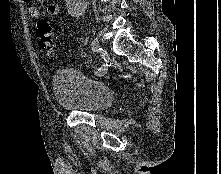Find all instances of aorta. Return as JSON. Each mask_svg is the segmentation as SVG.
I'll list each match as a JSON object with an SVG mask.
<instances>
[{
    "mask_svg": "<svg viewBox=\"0 0 221 174\" xmlns=\"http://www.w3.org/2000/svg\"><path fill=\"white\" fill-rule=\"evenodd\" d=\"M68 12L79 18L82 17L87 6L86 0H66Z\"/></svg>",
    "mask_w": 221,
    "mask_h": 174,
    "instance_id": "obj_1",
    "label": "aorta"
}]
</instances>
